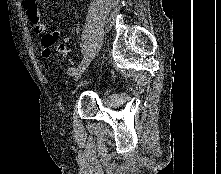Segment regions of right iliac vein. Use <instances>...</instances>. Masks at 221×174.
<instances>
[{"mask_svg":"<svg viewBox=\"0 0 221 174\" xmlns=\"http://www.w3.org/2000/svg\"><path fill=\"white\" fill-rule=\"evenodd\" d=\"M89 63H90V60H89V59H84V60L81 62V64L79 65L78 69L76 70V72H75V74H74V75H75V76H74V81H75V82H77V81L81 78L83 72L85 71V69H86V67L89 65Z\"/></svg>","mask_w":221,"mask_h":174,"instance_id":"63e3f726","label":"right iliac vein"}]
</instances>
